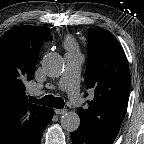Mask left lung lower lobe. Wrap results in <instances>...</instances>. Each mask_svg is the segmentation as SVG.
Returning <instances> with one entry per match:
<instances>
[{"instance_id":"left-lung-lower-lobe-1","label":"left lung lower lobe","mask_w":144,"mask_h":144,"mask_svg":"<svg viewBox=\"0 0 144 144\" xmlns=\"http://www.w3.org/2000/svg\"><path fill=\"white\" fill-rule=\"evenodd\" d=\"M73 144H113L114 138L99 136L81 125L71 134Z\"/></svg>"}]
</instances>
